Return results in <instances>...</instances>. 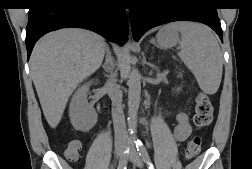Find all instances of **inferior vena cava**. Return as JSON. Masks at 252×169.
Segmentation results:
<instances>
[{
  "mask_svg": "<svg viewBox=\"0 0 252 169\" xmlns=\"http://www.w3.org/2000/svg\"><path fill=\"white\" fill-rule=\"evenodd\" d=\"M117 74L111 71L106 82L110 98L112 100V119L115 132V147L120 149L125 146L127 130L122 107V91L117 84Z\"/></svg>",
  "mask_w": 252,
  "mask_h": 169,
  "instance_id": "1",
  "label": "inferior vena cava"
}]
</instances>
